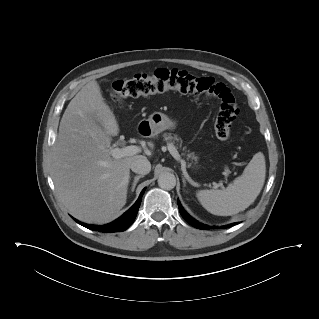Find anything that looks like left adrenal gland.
Instances as JSON below:
<instances>
[{
    "label": "left adrenal gland",
    "mask_w": 319,
    "mask_h": 319,
    "mask_svg": "<svg viewBox=\"0 0 319 319\" xmlns=\"http://www.w3.org/2000/svg\"><path fill=\"white\" fill-rule=\"evenodd\" d=\"M183 184L184 186H186V180L183 178Z\"/></svg>",
    "instance_id": "left-adrenal-gland-1"
}]
</instances>
